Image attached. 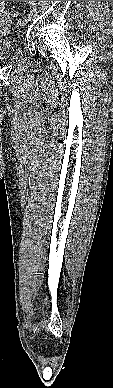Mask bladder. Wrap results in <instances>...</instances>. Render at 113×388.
I'll return each mask as SVG.
<instances>
[{
	"label": "bladder",
	"mask_w": 113,
	"mask_h": 388,
	"mask_svg": "<svg viewBox=\"0 0 113 388\" xmlns=\"http://www.w3.org/2000/svg\"><path fill=\"white\" fill-rule=\"evenodd\" d=\"M0 20V34L7 32L10 29V20L8 19L6 13L4 16H1ZM13 46L10 41L0 39V60L9 57L12 54Z\"/></svg>",
	"instance_id": "bladder-1"
}]
</instances>
